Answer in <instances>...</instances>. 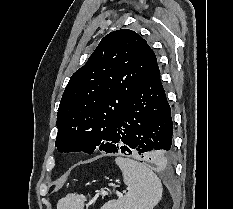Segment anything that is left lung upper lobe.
Segmentation results:
<instances>
[{"instance_id":"left-lung-upper-lobe-1","label":"left lung upper lobe","mask_w":233,"mask_h":209,"mask_svg":"<svg viewBox=\"0 0 233 209\" xmlns=\"http://www.w3.org/2000/svg\"><path fill=\"white\" fill-rule=\"evenodd\" d=\"M155 58L147 42L132 30L106 35L63 93L57 113L58 151L101 150L112 123Z\"/></svg>"}]
</instances>
